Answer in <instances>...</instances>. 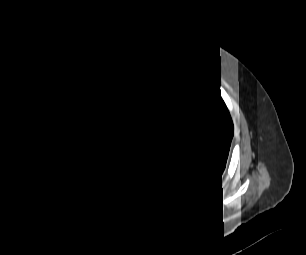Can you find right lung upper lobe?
Instances as JSON below:
<instances>
[{"label":"right lung upper lobe","instance_id":"cb5924a9","mask_svg":"<svg viewBox=\"0 0 306 255\" xmlns=\"http://www.w3.org/2000/svg\"><path fill=\"white\" fill-rule=\"evenodd\" d=\"M124 80L118 74L91 77L73 86L64 98L56 123L58 162L67 184L79 188L113 169L107 157L115 100ZM84 136L85 141L79 138ZM83 163L76 172L71 162Z\"/></svg>","mask_w":306,"mask_h":255}]
</instances>
